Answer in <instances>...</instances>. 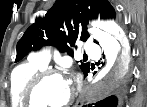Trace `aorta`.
Here are the masks:
<instances>
[{
    "instance_id": "762f6f07",
    "label": "aorta",
    "mask_w": 147,
    "mask_h": 107,
    "mask_svg": "<svg viewBox=\"0 0 147 107\" xmlns=\"http://www.w3.org/2000/svg\"><path fill=\"white\" fill-rule=\"evenodd\" d=\"M104 50L107 66L89 87L86 102H97L117 88L124 80L130 53L128 41L121 29L113 23H102L99 27L89 30Z\"/></svg>"
}]
</instances>
